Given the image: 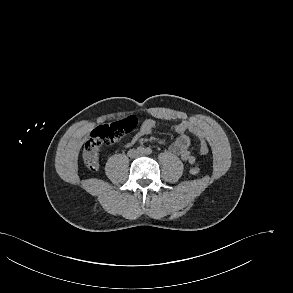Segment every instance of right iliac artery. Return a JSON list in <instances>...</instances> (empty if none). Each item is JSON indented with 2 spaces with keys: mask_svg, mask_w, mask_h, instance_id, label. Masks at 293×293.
<instances>
[{
  "mask_svg": "<svg viewBox=\"0 0 293 293\" xmlns=\"http://www.w3.org/2000/svg\"><path fill=\"white\" fill-rule=\"evenodd\" d=\"M137 150H138V152H144V146L143 145L142 146H139L137 148Z\"/></svg>",
  "mask_w": 293,
  "mask_h": 293,
  "instance_id": "obj_1",
  "label": "right iliac artery"
}]
</instances>
